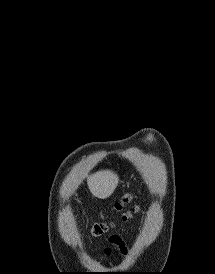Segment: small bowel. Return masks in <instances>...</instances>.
<instances>
[{"label":"small bowel","instance_id":"small-bowel-1","mask_svg":"<svg viewBox=\"0 0 215 274\" xmlns=\"http://www.w3.org/2000/svg\"><path fill=\"white\" fill-rule=\"evenodd\" d=\"M109 242L115 246H117V248L120 250V252L122 254H126L127 252V248L124 244V242L116 235H113L111 237H109ZM111 250L109 248L105 249V253L106 254H110Z\"/></svg>","mask_w":215,"mask_h":274}]
</instances>
